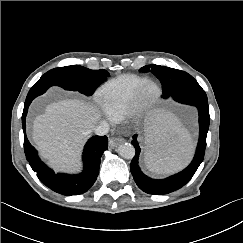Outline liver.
I'll use <instances>...</instances> for the list:
<instances>
[{
  "instance_id": "liver-1",
  "label": "liver",
  "mask_w": 243,
  "mask_h": 243,
  "mask_svg": "<svg viewBox=\"0 0 243 243\" xmlns=\"http://www.w3.org/2000/svg\"><path fill=\"white\" fill-rule=\"evenodd\" d=\"M100 117L98 108L82 99L50 103L34 119L33 142L56 171H78L82 148Z\"/></svg>"
}]
</instances>
